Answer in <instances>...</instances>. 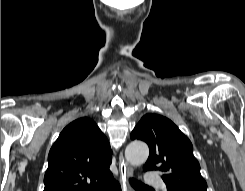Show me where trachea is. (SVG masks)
<instances>
[{"label": "trachea", "instance_id": "obj_1", "mask_svg": "<svg viewBox=\"0 0 245 191\" xmlns=\"http://www.w3.org/2000/svg\"><path fill=\"white\" fill-rule=\"evenodd\" d=\"M130 183L135 189H146L148 186L144 185L143 183H140L136 181L135 179H130Z\"/></svg>", "mask_w": 245, "mask_h": 191}]
</instances>
